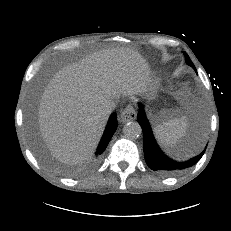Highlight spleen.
<instances>
[{
	"instance_id": "3e777b00",
	"label": "spleen",
	"mask_w": 231,
	"mask_h": 231,
	"mask_svg": "<svg viewBox=\"0 0 231 231\" xmlns=\"http://www.w3.org/2000/svg\"><path fill=\"white\" fill-rule=\"evenodd\" d=\"M187 127V116H181L155 126L154 133L158 142L167 148L175 145L184 136Z\"/></svg>"
}]
</instances>
